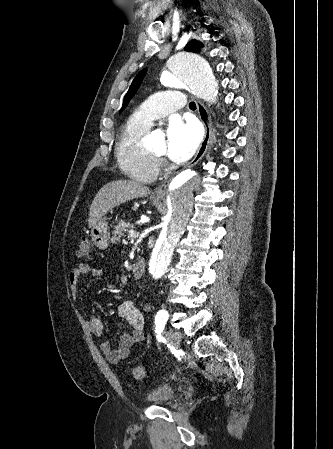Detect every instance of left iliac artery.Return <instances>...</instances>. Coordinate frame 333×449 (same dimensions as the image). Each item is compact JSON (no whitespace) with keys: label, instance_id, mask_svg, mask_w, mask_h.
<instances>
[{"label":"left iliac artery","instance_id":"1","mask_svg":"<svg viewBox=\"0 0 333 449\" xmlns=\"http://www.w3.org/2000/svg\"><path fill=\"white\" fill-rule=\"evenodd\" d=\"M168 316L169 314L166 310H160L155 316V332L157 334V340L159 342L163 340L161 332L164 329Z\"/></svg>","mask_w":333,"mask_h":449}]
</instances>
